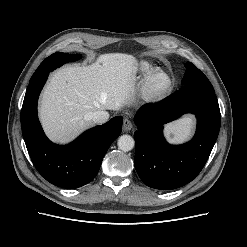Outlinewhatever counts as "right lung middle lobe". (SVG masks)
<instances>
[{
	"mask_svg": "<svg viewBox=\"0 0 247 247\" xmlns=\"http://www.w3.org/2000/svg\"><path fill=\"white\" fill-rule=\"evenodd\" d=\"M81 54H67V53H61L57 52L46 58L40 66L37 68L35 73L33 74L31 80L38 78L39 76L49 73L53 71L54 69L62 66L65 63L68 62H74L81 58Z\"/></svg>",
	"mask_w": 247,
	"mask_h": 247,
	"instance_id": "obj_1",
	"label": "right lung middle lobe"
}]
</instances>
